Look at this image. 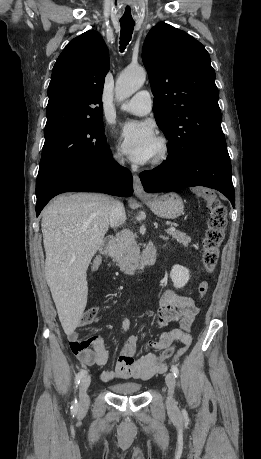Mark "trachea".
I'll return each mask as SVG.
<instances>
[{
	"label": "trachea",
	"instance_id": "obj_1",
	"mask_svg": "<svg viewBox=\"0 0 261 459\" xmlns=\"http://www.w3.org/2000/svg\"><path fill=\"white\" fill-rule=\"evenodd\" d=\"M120 51L123 52L129 44L134 29L135 22L133 20H120Z\"/></svg>",
	"mask_w": 261,
	"mask_h": 459
}]
</instances>
